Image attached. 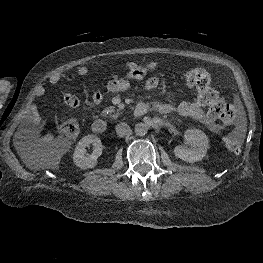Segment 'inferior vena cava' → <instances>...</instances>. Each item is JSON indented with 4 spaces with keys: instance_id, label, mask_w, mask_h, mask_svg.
I'll return each mask as SVG.
<instances>
[{
    "instance_id": "602c4592",
    "label": "inferior vena cava",
    "mask_w": 263,
    "mask_h": 263,
    "mask_svg": "<svg viewBox=\"0 0 263 263\" xmlns=\"http://www.w3.org/2000/svg\"><path fill=\"white\" fill-rule=\"evenodd\" d=\"M116 133L118 136L123 137L130 133V127L127 123L121 122L116 125Z\"/></svg>"
}]
</instances>
